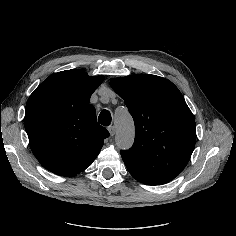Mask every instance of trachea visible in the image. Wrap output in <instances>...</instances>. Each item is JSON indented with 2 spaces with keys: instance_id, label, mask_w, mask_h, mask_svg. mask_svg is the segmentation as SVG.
Returning a JSON list of instances; mask_svg holds the SVG:
<instances>
[{
  "instance_id": "obj_1",
  "label": "trachea",
  "mask_w": 236,
  "mask_h": 236,
  "mask_svg": "<svg viewBox=\"0 0 236 236\" xmlns=\"http://www.w3.org/2000/svg\"><path fill=\"white\" fill-rule=\"evenodd\" d=\"M98 122L104 126H109L111 124V114L108 110H103L99 117Z\"/></svg>"
}]
</instances>
